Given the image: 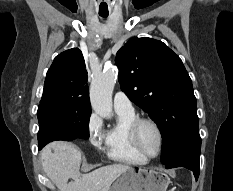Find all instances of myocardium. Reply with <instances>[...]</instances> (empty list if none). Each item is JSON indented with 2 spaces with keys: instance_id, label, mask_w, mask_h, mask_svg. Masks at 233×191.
<instances>
[{
  "instance_id": "1",
  "label": "myocardium",
  "mask_w": 233,
  "mask_h": 191,
  "mask_svg": "<svg viewBox=\"0 0 233 191\" xmlns=\"http://www.w3.org/2000/svg\"><path fill=\"white\" fill-rule=\"evenodd\" d=\"M143 124H150L154 127L158 135V149L155 155L149 156L144 153L139 143V130ZM129 137L135 150L145 159L152 160L158 157L163 147V134L159 124L151 118H137L129 127Z\"/></svg>"
}]
</instances>
